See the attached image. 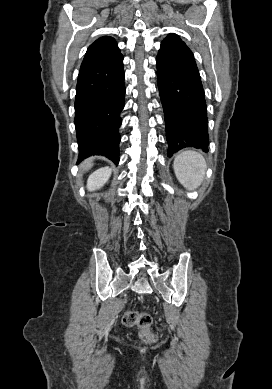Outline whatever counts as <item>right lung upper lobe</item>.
<instances>
[{"label":"right lung upper lobe","mask_w":272,"mask_h":389,"mask_svg":"<svg viewBox=\"0 0 272 389\" xmlns=\"http://www.w3.org/2000/svg\"><path fill=\"white\" fill-rule=\"evenodd\" d=\"M116 41L109 36H104L93 42L82 61L80 70L99 65L120 55Z\"/></svg>","instance_id":"cb5924a9"}]
</instances>
